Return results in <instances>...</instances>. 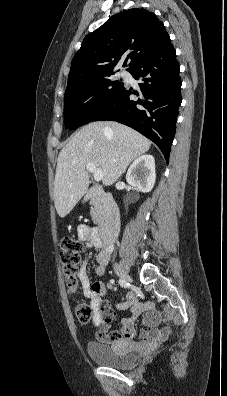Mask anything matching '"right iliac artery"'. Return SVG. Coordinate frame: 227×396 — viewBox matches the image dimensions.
Masks as SVG:
<instances>
[{
    "label": "right iliac artery",
    "instance_id": "right-iliac-artery-1",
    "mask_svg": "<svg viewBox=\"0 0 227 396\" xmlns=\"http://www.w3.org/2000/svg\"><path fill=\"white\" fill-rule=\"evenodd\" d=\"M118 282H119L120 286L123 287V288H127L129 286L128 282H126L123 279H119Z\"/></svg>",
    "mask_w": 227,
    "mask_h": 396
}]
</instances>
